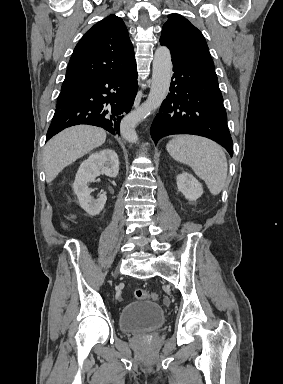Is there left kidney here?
<instances>
[{
  "instance_id": "1",
  "label": "left kidney",
  "mask_w": 283,
  "mask_h": 384,
  "mask_svg": "<svg viewBox=\"0 0 283 384\" xmlns=\"http://www.w3.org/2000/svg\"><path fill=\"white\" fill-rule=\"evenodd\" d=\"M177 186L178 192H181L186 200H192V202L201 198L203 194L200 182L192 174H188V172H183V174L177 176Z\"/></svg>"
}]
</instances>
